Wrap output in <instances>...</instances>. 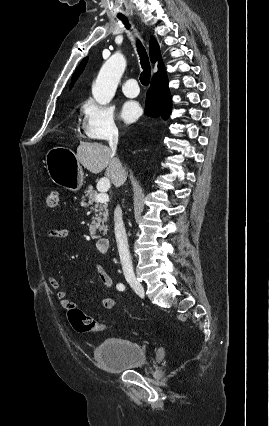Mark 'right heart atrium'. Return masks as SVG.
Segmentation results:
<instances>
[{
    "label": "right heart atrium",
    "mask_w": 269,
    "mask_h": 426,
    "mask_svg": "<svg viewBox=\"0 0 269 426\" xmlns=\"http://www.w3.org/2000/svg\"><path fill=\"white\" fill-rule=\"evenodd\" d=\"M81 113V132L86 138L106 140L118 136L119 127L110 106L89 98L83 102Z\"/></svg>",
    "instance_id": "d8ad5b80"
}]
</instances>
